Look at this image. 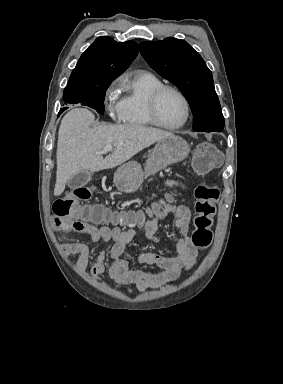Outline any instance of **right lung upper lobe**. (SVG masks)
I'll list each match as a JSON object with an SVG mask.
<instances>
[{
    "label": "right lung upper lobe",
    "mask_w": 283,
    "mask_h": 384,
    "mask_svg": "<svg viewBox=\"0 0 283 384\" xmlns=\"http://www.w3.org/2000/svg\"><path fill=\"white\" fill-rule=\"evenodd\" d=\"M137 53L138 44L133 41L98 37L81 55L66 88L111 83L129 67Z\"/></svg>",
    "instance_id": "1"
}]
</instances>
